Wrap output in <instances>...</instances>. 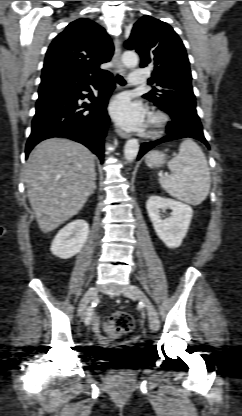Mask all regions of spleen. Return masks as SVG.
<instances>
[{
	"instance_id": "1",
	"label": "spleen",
	"mask_w": 242,
	"mask_h": 416,
	"mask_svg": "<svg viewBox=\"0 0 242 416\" xmlns=\"http://www.w3.org/2000/svg\"><path fill=\"white\" fill-rule=\"evenodd\" d=\"M168 167L172 173L159 178L167 193L191 205H198L206 199L211 178L206 157L197 143L191 139L184 140Z\"/></svg>"
}]
</instances>
